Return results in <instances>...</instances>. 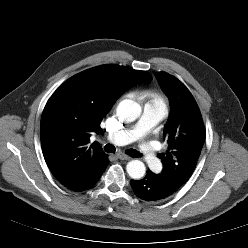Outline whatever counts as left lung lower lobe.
I'll list each match as a JSON object with an SVG mask.
<instances>
[{
	"label": "left lung lower lobe",
	"mask_w": 248,
	"mask_h": 248,
	"mask_svg": "<svg viewBox=\"0 0 248 248\" xmlns=\"http://www.w3.org/2000/svg\"><path fill=\"white\" fill-rule=\"evenodd\" d=\"M131 186L135 195L145 201L162 200L174 193L150 170L147 171V175L143 179L131 180Z\"/></svg>",
	"instance_id": "left-lung-lower-lobe-1"
}]
</instances>
